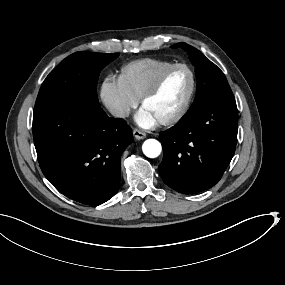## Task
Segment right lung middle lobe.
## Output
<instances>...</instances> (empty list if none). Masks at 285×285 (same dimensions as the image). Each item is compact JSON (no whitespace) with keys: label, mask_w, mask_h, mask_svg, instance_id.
<instances>
[{"label":"right lung middle lobe","mask_w":285,"mask_h":285,"mask_svg":"<svg viewBox=\"0 0 285 285\" xmlns=\"http://www.w3.org/2000/svg\"><path fill=\"white\" fill-rule=\"evenodd\" d=\"M118 56L91 52L68 56L44 80L34 111L61 99H79L99 105L96 94L98 76Z\"/></svg>","instance_id":"obj_1"}]
</instances>
